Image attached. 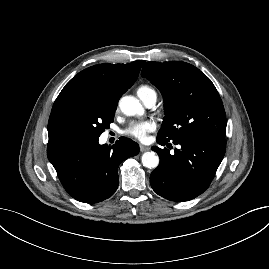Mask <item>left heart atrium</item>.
<instances>
[{
	"label": "left heart atrium",
	"mask_w": 269,
	"mask_h": 269,
	"mask_svg": "<svg viewBox=\"0 0 269 269\" xmlns=\"http://www.w3.org/2000/svg\"><path fill=\"white\" fill-rule=\"evenodd\" d=\"M156 129V123L153 120H142L131 123L126 133L136 139L145 140L148 133Z\"/></svg>",
	"instance_id": "obj_1"
}]
</instances>
